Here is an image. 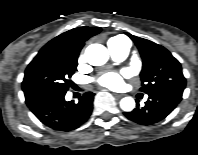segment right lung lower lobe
I'll use <instances>...</instances> for the list:
<instances>
[{
	"mask_svg": "<svg viewBox=\"0 0 198 155\" xmlns=\"http://www.w3.org/2000/svg\"><path fill=\"white\" fill-rule=\"evenodd\" d=\"M26 104L46 126L58 131H71L82 125L93 108L94 93L87 92L78 103L65 101L66 91L38 89L24 92Z\"/></svg>",
	"mask_w": 198,
	"mask_h": 155,
	"instance_id": "obj_1",
	"label": "right lung lower lobe"
}]
</instances>
